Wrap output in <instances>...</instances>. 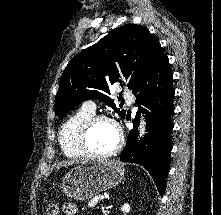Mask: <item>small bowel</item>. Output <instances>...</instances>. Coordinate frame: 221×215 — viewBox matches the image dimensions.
<instances>
[{
	"mask_svg": "<svg viewBox=\"0 0 221 215\" xmlns=\"http://www.w3.org/2000/svg\"><path fill=\"white\" fill-rule=\"evenodd\" d=\"M78 212L76 205L73 203H65L63 205V213L65 215H76Z\"/></svg>",
	"mask_w": 221,
	"mask_h": 215,
	"instance_id": "1",
	"label": "small bowel"
}]
</instances>
